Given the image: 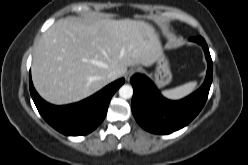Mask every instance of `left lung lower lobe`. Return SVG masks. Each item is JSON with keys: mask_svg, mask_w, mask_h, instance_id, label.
<instances>
[{"mask_svg": "<svg viewBox=\"0 0 248 165\" xmlns=\"http://www.w3.org/2000/svg\"><path fill=\"white\" fill-rule=\"evenodd\" d=\"M200 44L208 63L203 85L188 97L171 101L164 98L145 75L135 74L130 82L134 89L132 112L138 124L155 134H169L189 124L203 108L213 77V63L208 46L202 37L190 38Z\"/></svg>", "mask_w": 248, "mask_h": 165, "instance_id": "0a47b994", "label": "left lung lower lobe"}]
</instances>
